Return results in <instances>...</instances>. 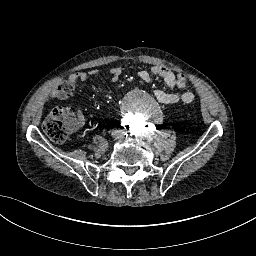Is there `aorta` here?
Masks as SVG:
<instances>
[{
    "label": "aorta",
    "mask_w": 256,
    "mask_h": 256,
    "mask_svg": "<svg viewBox=\"0 0 256 256\" xmlns=\"http://www.w3.org/2000/svg\"><path fill=\"white\" fill-rule=\"evenodd\" d=\"M124 109L131 117L148 122L157 116L159 106L146 90L133 89L124 98Z\"/></svg>",
    "instance_id": "1"
}]
</instances>
